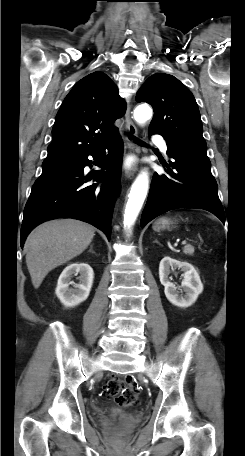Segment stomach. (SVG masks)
Wrapping results in <instances>:
<instances>
[{
    "instance_id": "1",
    "label": "stomach",
    "mask_w": 245,
    "mask_h": 456,
    "mask_svg": "<svg viewBox=\"0 0 245 456\" xmlns=\"http://www.w3.org/2000/svg\"><path fill=\"white\" fill-rule=\"evenodd\" d=\"M173 223L174 222L171 219L167 217H162L155 222L153 228L156 231L165 230L169 229L171 225H173Z\"/></svg>"
}]
</instances>
